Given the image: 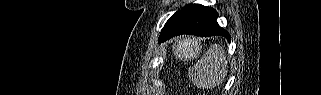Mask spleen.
Listing matches in <instances>:
<instances>
[{"instance_id":"1","label":"spleen","mask_w":321,"mask_h":95,"mask_svg":"<svg viewBox=\"0 0 321 95\" xmlns=\"http://www.w3.org/2000/svg\"><path fill=\"white\" fill-rule=\"evenodd\" d=\"M227 72L228 66L224 49L220 45H213L196 62L191 72V78L196 86L211 88L221 84Z\"/></svg>"}]
</instances>
